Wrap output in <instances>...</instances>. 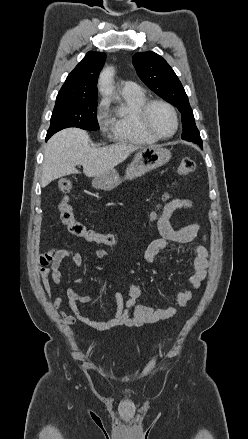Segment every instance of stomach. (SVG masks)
I'll return each mask as SVG.
<instances>
[{"label": "stomach", "instance_id": "1", "mask_svg": "<svg viewBox=\"0 0 248 439\" xmlns=\"http://www.w3.org/2000/svg\"><path fill=\"white\" fill-rule=\"evenodd\" d=\"M171 159L170 150L160 146L141 147L136 153L133 161L126 169L125 179H134L145 173L165 165ZM118 172L114 169L109 170L92 181V186L96 189L110 191L121 183Z\"/></svg>", "mask_w": 248, "mask_h": 439}]
</instances>
